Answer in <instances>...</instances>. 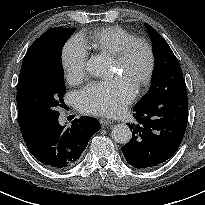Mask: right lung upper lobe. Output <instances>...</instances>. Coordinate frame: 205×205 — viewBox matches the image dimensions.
<instances>
[{"label": "right lung upper lobe", "instance_id": "cb5924a9", "mask_svg": "<svg viewBox=\"0 0 205 205\" xmlns=\"http://www.w3.org/2000/svg\"><path fill=\"white\" fill-rule=\"evenodd\" d=\"M52 29L47 30L45 33H43L28 49L26 52V55L24 57L19 80L24 75L27 67L31 63L35 51L41 46L42 42L46 40L48 35L52 32ZM17 108H18V122L20 126V130L22 132L23 139L25 140L29 134L38 126L40 125L39 122H37L30 114L29 112L23 107L21 104L19 97L17 95Z\"/></svg>", "mask_w": 205, "mask_h": 205}]
</instances>
